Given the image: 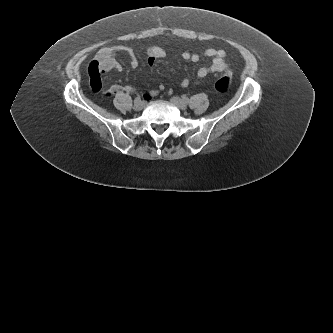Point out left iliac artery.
Instances as JSON below:
<instances>
[{"label":"left iliac artery","mask_w":333,"mask_h":333,"mask_svg":"<svg viewBox=\"0 0 333 333\" xmlns=\"http://www.w3.org/2000/svg\"><path fill=\"white\" fill-rule=\"evenodd\" d=\"M183 99L186 100V101L188 100V98L186 96H183Z\"/></svg>","instance_id":"obj_1"}]
</instances>
